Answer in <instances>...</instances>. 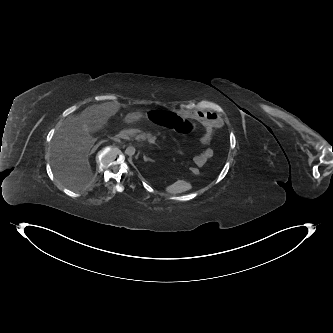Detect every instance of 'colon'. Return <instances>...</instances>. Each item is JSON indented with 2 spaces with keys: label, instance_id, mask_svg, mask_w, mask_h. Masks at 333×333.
Here are the masks:
<instances>
[{
  "label": "colon",
  "instance_id": "colon-1",
  "mask_svg": "<svg viewBox=\"0 0 333 333\" xmlns=\"http://www.w3.org/2000/svg\"><path fill=\"white\" fill-rule=\"evenodd\" d=\"M146 121L151 125H159L164 129H175L182 134H191L197 131V125L189 119H181L174 111L151 108L145 114ZM190 172L199 174L198 168H191Z\"/></svg>",
  "mask_w": 333,
  "mask_h": 333
}]
</instances>
